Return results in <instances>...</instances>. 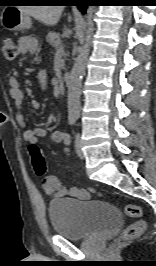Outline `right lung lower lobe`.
<instances>
[{
    "mask_svg": "<svg viewBox=\"0 0 156 266\" xmlns=\"http://www.w3.org/2000/svg\"><path fill=\"white\" fill-rule=\"evenodd\" d=\"M90 2V0H73L72 3H74L73 5L77 6L82 13H85Z\"/></svg>",
    "mask_w": 156,
    "mask_h": 266,
    "instance_id": "right-lung-lower-lobe-1",
    "label": "right lung lower lobe"
}]
</instances>
